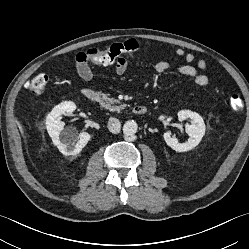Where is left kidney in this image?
Wrapping results in <instances>:
<instances>
[{
	"instance_id": "left-kidney-1",
	"label": "left kidney",
	"mask_w": 249,
	"mask_h": 249,
	"mask_svg": "<svg viewBox=\"0 0 249 249\" xmlns=\"http://www.w3.org/2000/svg\"><path fill=\"white\" fill-rule=\"evenodd\" d=\"M178 119L179 121L191 119V124L185 125L186 133L189 136L188 140L180 143L178 139L171 136V132L169 131L164 133V140L169 147L177 152L189 151L200 143L205 134V123L198 113L190 110H180L178 112Z\"/></svg>"
}]
</instances>
